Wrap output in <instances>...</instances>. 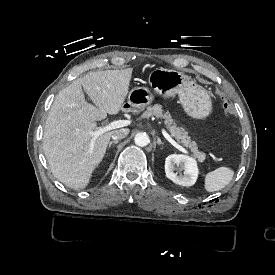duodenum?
I'll use <instances>...</instances> for the list:
<instances>
[{"mask_svg":"<svg viewBox=\"0 0 275 275\" xmlns=\"http://www.w3.org/2000/svg\"><path fill=\"white\" fill-rule=\"evenodd\" d=\"M128 108H130V107H129V106H126V105H124V106H123V108H121V110H120V111H121L122 113H125V112L127 111V109H128Z\"/></svg>","mask_w":275,"mask_h":275,"instance_id":"obj_1","label":"duodenum"}]
</instances>
